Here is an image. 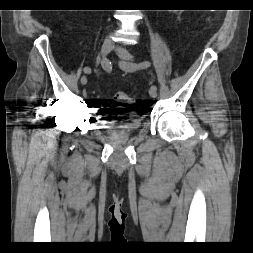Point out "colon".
Instances as JSON below:
<instances>
[{
  "instance_id": "obj_1",
  "label": "colon",
  "mask_w": 253,
  "mask_h": 253,
  "mask_svg": "<svg viewBox=\"0 0 253 253\" xmlns=\"http://www.w3.org/2000/svg\"><path fill=\"white\" fill-rule=\"evenodd\" d=\"M114 100L118 101V102H121V103H132L133 102V98L128 95L127 93L125 92H122V91H118L114 94L113 96Z\"/></svg>"
}]
</instances>
